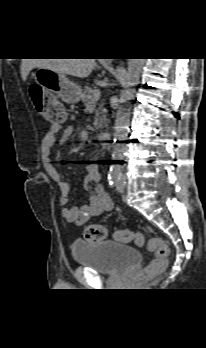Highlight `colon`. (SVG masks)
Here are the masks:
<instances>
[{
  "mask_svg": "<svg viewBox=\"0 0 206 348\" xmlns=\"http://www.w3.org/2000/svg\"><path fill=\"white\" fill-rule=\"evenodd\" d=\"M30 96L37 111L45 116L54 125H61L66 119V114L60 102L50 94L36 85L30 87ZM107 236V230L103 225H89L84 230V238L87 241L97 242L104 240ZM116 240L128 242L135 240L140 246L146 245L150 252L155 254V258L148 266L140 272L141 276H152L164 271L167 267L170 249L168 244L158 237H151L148 240L141 234H134L128 229L118 230L114 233Z\"/></svg>",
  "mask_w": 206,
  "mask_h": 348,
  "instance_id": "5ec220e1",
  "label": "colon"
}]
</instances>
